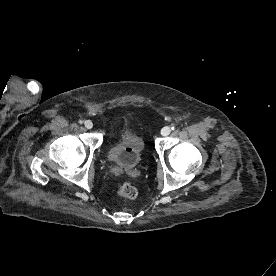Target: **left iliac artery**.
<instances>
[{"label": "left iliac artery", "mask_w": 276, "mask_h": 276, "mask_svg": "<svg viewBox=\"0 0 276 276\" xmlns=\"http://www.w3.org/2000/svg\"><path fill=\"white\" fill-rule=\"evenodd\" d=\"M171 129H172V130H175V129H176V127H175L174 125H172Z\"/></svg>", "instance_id": "obj_1"}]
</instances>
